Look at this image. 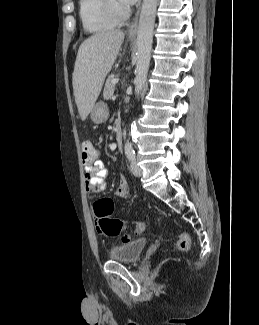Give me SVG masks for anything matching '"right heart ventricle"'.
I'll list each match as a JSON object with an SVG mask.
<instances>
[{"instance_id": "e07e8e85", "label": "right heart ventricle", "mask_w": 259, "mask_h": 325, "mask_svg": "<svg viewBox=\"0 0 259 325\" xmlns=\"http://www.w3.org/2000/svg\"><path fill=\"white\" fill-rule=\"evenodd\" d=\"M78 11L82 28L87 33H101L117 24L106 13L103 0H79Z\"/></svg>"}]
</instances>
